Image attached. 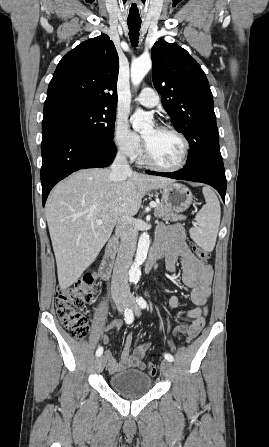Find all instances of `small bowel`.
<instances>
[{"instance_id": "obj_1", "label": "small bowel", "mask_w": 269, "mask_h": 447, "mask_svg": "<svg viewBox=\"0 0 269 447\" xmlns=\"http://www.w3.org/2000/svg\"><path fill=\"white\" fill-rule=\"evenodd\" d=\"M185 237V230L180 224L160 227L156 237L155 250L166 253V267L171 274L175 272L177 261L180 260L181 280L185 287L191 289L190 299L193 304L192 307L187 309L185 316L192 320L190 327L194 325L196 328H202L207 314V300L211 295L213 269L194 256L186 243ZM168 303L172 308L185 305L176 295L171 296ZM116 326V322L111 321L103 328V331L107 332ZM189 328L185 325L180 326L174 335L184 333ZM132 341V335H129L123 345L119 361L113 357L111 351L108 350L105 353L110 372L116 373L127 368L144 367L143 358L150 346L140 344L132 349ZM100 342L109 344L111 343V337L103 333Z\"/></svg>"}]
</instances>
